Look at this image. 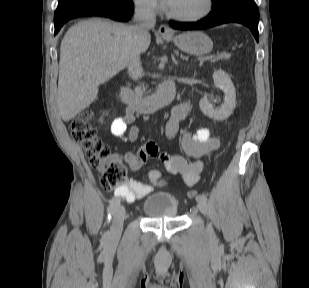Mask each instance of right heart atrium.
I'll return each mask as SVG.
<instances>
[{"mask_svg":"<svg viewBox=\"0 0 309 288\" xmlns=\"http://www.w3.org/2000/svg\"><path fill=\"white\" fill-rule=\"evenodd\" d=\"M134 5L145 12H156L160 9L158 0H133Z\"/></svg>","mask_w":309,"mask_h":288,"instance_id":"1","label":"right heart atrium"}]
</instances>
